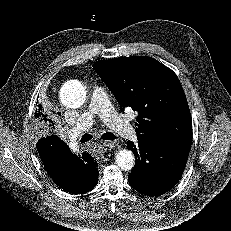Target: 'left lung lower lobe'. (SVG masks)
<instances>
[{
  "label": "left lung lower lobe",
  "mask_w": 231,
  "mask_h": 231,
  "mask_svg": "<svg viewBox=\"0 0 231 231\" xmlns=\"http://www.w3.org/2000/svg\"><path fill=\"white\" fill-rule=\"evenodd\" d=\"M136 158L129 175L130 185L148 196H160L179 181L186 166L189 152L174 151L157 143H127Z\"/></svg>",
  "instance_id": "1"
}]
</instances>
